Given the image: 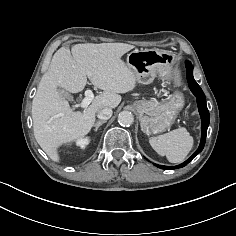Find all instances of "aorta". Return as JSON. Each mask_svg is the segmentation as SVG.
<instances>
[{"label":"aorta","instance_id":"1","mask_svg":"<svg viewBox=\"0 0 236 236\" xmlns=\"http://www.w3.org/2000/svg\"><path fill=\"white\" fill-rule=\"evenodd\" d=\"M118 122L122 126H130L134 122V116L130 111H122L118 115Z\"/></svg>","mask_w":236,"mask_h":236}]
</instances>
